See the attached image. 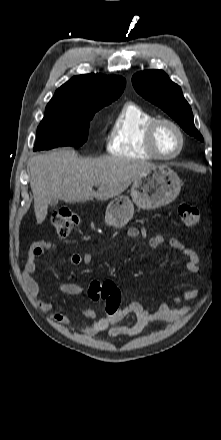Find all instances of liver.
Returning <instances> with one entry per match:
<instances>
[{
	"mask_svg": "<svg viewBox=\"0 0 221 440\" xmlns=\"http://www.w3.org/2000/svg\"><path fill=\"white\" fill-rule=\"evenodd\" d=\"M30 186L38 224L53 199L66 203L119 196L153 164L125 158L82 159L72 149H58L34 156L29 161ZM93 186H98L95 192Z\"/></svg>",
	"mask_w": 221,
	"mask_h": 440,
	"instance_id": "6515ba94",
	"label": "liver"
}]
</instances>
